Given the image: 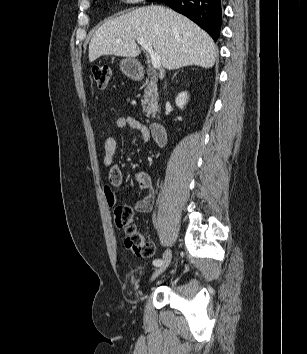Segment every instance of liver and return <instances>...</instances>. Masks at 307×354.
<instances>
[{"label":"liver","mask_w":307,"mask_h":354,"mask_svg":"<svg viewBox=\"0 0 307 354\" xmlns=\"http://www.w3.org/2000/svg\"><path fill=\"white\" fill-rule=\"evenodd\" d=\"M137 38L150 44L169 70L196 65L211 68L216 57L212 38L187 17L172 9L150 5L108 20L94 33L89 44V61L103 55L137 57Z\"/></svg>","instance_id":"1"}]
</instances>
